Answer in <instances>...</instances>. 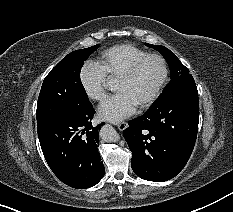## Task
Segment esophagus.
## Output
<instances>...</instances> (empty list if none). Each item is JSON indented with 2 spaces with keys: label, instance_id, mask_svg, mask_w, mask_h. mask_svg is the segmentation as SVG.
I'll use <instances>...</instances> for the list:
<instances>
[{
  "label": "esophagus",
  "instance_id": "34e87169",
  "mask_svg": "<svg viewBox=\"0 0 233 212\" xmlns=\"http://www.w3.org/2000/svg\"><path fill=\"white\" fill-rule=\"evenodd\" d=\"M117 127L120 131H123L128 127V124L126 122H121L117 124Z\"/></svg>",
  "mask_w": 233,
  "mask_h": 212
}]
</instances>
